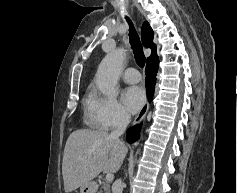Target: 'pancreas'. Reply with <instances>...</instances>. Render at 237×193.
<instances>
[{
  "label": "pancreas",
  "mask_w": 237,
  "mask_h": 193,
  "mask_svg": "<svg viewBox=\"0 0 237 193\" xmlns=\"http://www.w3.org/2000/svg\"><path fill=\"white\" fill-rule=\"evenodd\" d=\"M100 185L102 186L103 190H100L99 193H110V184L107 182H101Z\"/></svg>",
  "instance_id": "obj_1"
}]
</instances>
